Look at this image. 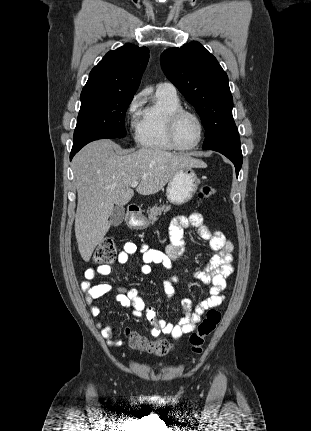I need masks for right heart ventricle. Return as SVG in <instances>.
I'll list each match as a JSON object with an SVG mask.
<instances>
[{
    "label": "right heart ventricle",
    "mask_w": 311,
    "mask_h": 431,
    "mask_svg": "<svg viewBox=\"0 0 311 431\" xmlns=\"http://www.w3.org/2000/svg\"><path fill=\"white\" fill-rule=\"evenodd\" d=\"M184 108L176 93L156 91L154 102L141 111L136 125L135 141L143 148L172 151L175 147L168 137V119L172 112Z\"/></svg>",
    "instance_id": "1"
}]
</instances>
